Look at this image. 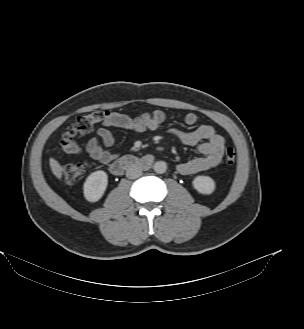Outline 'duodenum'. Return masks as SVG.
<instances>
[{"label": "duodenum", "mask_w": 304, "mask_h": 329, "mask_svg": "<svg viewBox=\"0 0 304 329\" xmlns=\"http://www.w3.org/2000/svg\"><path fill=\"white\" fill-rule=\"evenodd\" d=\"M152 162V157L150 155L143 158H138L133 155L124 156L116 161H114L110 166V171L114 175H121L126 170L132 168H145Z\"/></svg>", "instance_id": "1"}]
</instances>
